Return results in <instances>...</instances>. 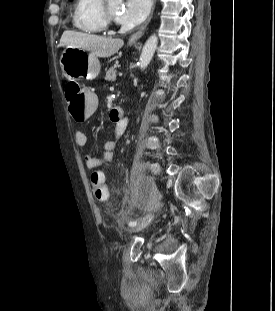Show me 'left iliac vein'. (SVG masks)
<instances>
[{"label":"left iliac vein","mask_w":275,"mask_h":311,"mask_svg":"<svg viewBox=\"0 0 275 311\" xmlns=\"http://www.w3.org/2000/svg\"><path fill=\"white\" fill-rule=\"evenodd\" d=\"M153 218H154L153 213L146 214L145 216L140 218L137 226L130 229V232H138V231L142 230L143 228H145L146 226H148L152 222Z\"/></svg>","instance_id":"4c4485c4"}]
</instances>
